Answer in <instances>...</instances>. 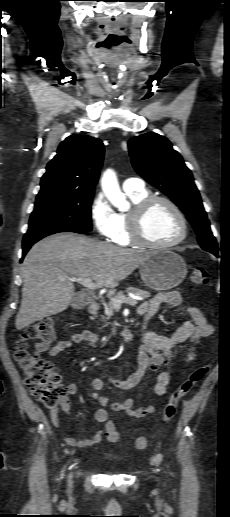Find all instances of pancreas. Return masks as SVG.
Returning a JSON list of instances; mask_svg holds the SVG:
<instances>
[{
	"label": "pancreas",
	"mask_w": 230,
	"mask_h": 517,
	"mask_svg": "<svg viewBox=\"0 0 230 517\" xmlns=\"http://www.w3.org/2000/svg\"><path fill=\"white\" fill-rule=\"evenodd\" d=\"M126 292H131L139 297H143V298H147V297H150V293L146 290H142V289H138V288H135V287H128L126 289ZM123 297H126L125 294L123 292H119L117 295H115L111 301L107 304L104 305V308H105V313H106V320L110 319V317H112L114 315V305H113V302L112 300L113 299H117V298H123ZM108 323H106L104 326H107Z\"/></svg>",
	"instance_id": "1"
}]
</instances>
